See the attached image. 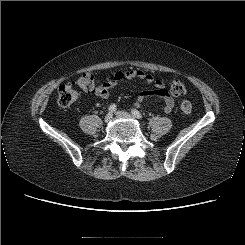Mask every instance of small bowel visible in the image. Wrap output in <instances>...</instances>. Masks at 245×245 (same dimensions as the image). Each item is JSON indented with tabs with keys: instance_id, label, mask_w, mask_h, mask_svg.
<instances>
[{
	"instance_id": "c3829d8e",
	"label": "small bowel",
	"mask_w": 245,
	"mask_h": 245,
	"mask_svg": "<svg viewBox=\"0 0 245 245\" xmlns=\"http://www.w3.org/2000/svg\"><path fill=\"white\" fill-rule=\"evenodd\" d=\"M122 80H138L148 85H153L152 91H142L135 102L136 106H140L142 102L150 96L160 98L163 101V108L166 113H170L174 108V98L169 93L165 84L156 79L152 74L146 73L140 69H131L116 72L111 78L105 80L96 90V95L106 99L109 97L110 90L113 89Z\"/></svg>"
}]
</instances>
